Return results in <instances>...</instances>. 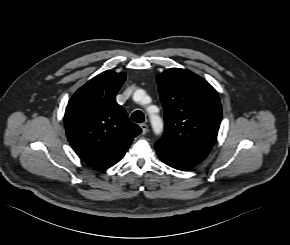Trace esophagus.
Here are the masks:
<instances>
[{
    "instance_id": "34e87169",
    "label": "esophagus",
    "mask_w": 290,
    "mask_h": 245,
    "mask_svg": "<svg viewBox=\"0 0 290 245\" xmlns=\"http://www.w3.org/2000/svg\"><path fill=\"white\" fill-rule=\"evenodd\" d=\"M140 127L142 129L143 134H146L148 132V125L146 123L140 124Z\"/></svg>"
}]
</instances>
